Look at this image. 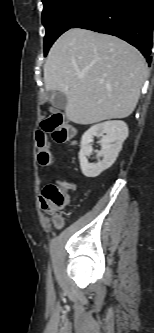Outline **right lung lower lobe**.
I'll return each mask as SVG.
<instances>
[{
  "label": "right lung lower lobe",
  "instance_id": "obj_1",
  "mask_svg": "<svg viewBox=\"0 0 154 333\" xmlns=\"http://www.w3.org/2000/svg\"><path fill=\"white\" fill-rule=\"evenodd\" d=\"M154 0H99L72 28L117 36L151 63Z\"/></svg>",
  "mask_w": 154,
  "mask_h": 333
}]
</instances>
